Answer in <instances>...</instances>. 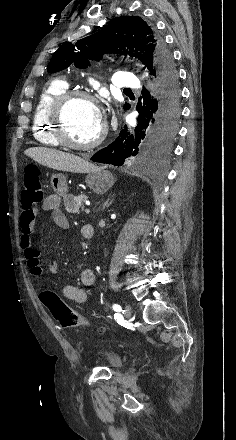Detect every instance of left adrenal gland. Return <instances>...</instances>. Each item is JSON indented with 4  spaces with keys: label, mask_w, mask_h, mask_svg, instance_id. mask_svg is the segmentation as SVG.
Masks as SVG:
<instances>
[{
    "label": "left adrenal gland",
    "mask_w": 236,
    "mask_h": 440,
    "mask_svg": "<svg viewBox=\"0 0 236 440\" xmlns=\"http://www.w3.org/2000/svg\"><path fill=\"white\" fill-rule=\"evenodd\" d=\"M112 204V200L109 202V200H107L104 204H103V209H105L106 207H109Z\"/></svg>",
    "instance_id": "1"
}]
</instances>
